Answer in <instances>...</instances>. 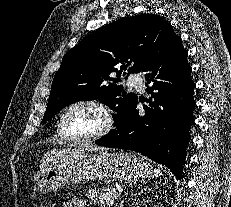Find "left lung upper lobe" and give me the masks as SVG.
Masks as SVG:
<instances>
[{
  "label": "left lung upper lobe",
  "instance_id": "obj_1",
  "mask_svg": "<svg viewBox=\"0 0 231 207\" xmlns=\"http://www.w3.org/2000/svg\"><path fill=\"white\" fill-rule=\"evenodd\" d=\"M178 38L170 23L155 14L123 18L99 28L64 55L42 123L74 102L99 100L117 112L118 126L137 95L123 92L117 84L122 79L110 74L117 72L124 78L126 73L143 71Z\"/></svg>",
  "mask_w": 231,
  "mask_h": 207
}]
</instances>
